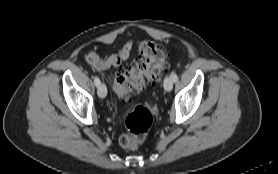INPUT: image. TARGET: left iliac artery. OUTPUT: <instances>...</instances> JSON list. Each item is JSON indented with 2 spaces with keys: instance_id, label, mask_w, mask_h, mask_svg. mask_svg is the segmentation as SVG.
Returning a JSON list of instances; mask_svg holds the SVG:
<instances>
[{
  "instance_id": "obj_1",
  "label": "left iliac artery",
  "mask_w": 278,
  "mask_h": 174,
  "mask_svg": "<svg viewBox=\"0 0 278 174\" xmlns=\"http://www.w3.org/2000/svg\"><path fill=\"white\" fill-rule=\"evenodd\" d=\"M171 78H172L173 82H176L178 80V76L176 73H172Z\"/></svg>"
}]
</instances>
